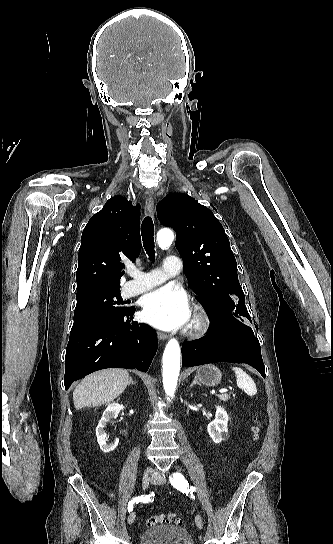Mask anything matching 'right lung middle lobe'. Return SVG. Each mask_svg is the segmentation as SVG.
<instances>
[{
  "mask_svg": "<svg viewBox=\"0 0 333 544\" xmlns=\"http://www.w3.org/2000/svg\"><path fill=\"white\" fill-rule=\"evenodd\" d=\"M129 309L122 301L120 290L100 292L77 299L70 336L80 334Z\"/></svg>",
  "mask_w": 333,
  "mask_h": 544,
  "instance_id": "dd1d6c3e",
  "label": "right lung middle lobe"
}]
</instances>
